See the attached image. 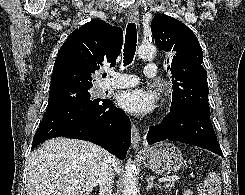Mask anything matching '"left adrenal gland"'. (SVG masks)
Masks as SVG:
<instances>
[{
	"instance_id": "a2214340",
	"label": "left adrenal gland",
	"mask_w": 245,
	"mask_h": 195,
	"mask_svg": "<svg viewBox=\"0 0 245 195\" xmlns=\"http://www.w3.org/2000/svg\"><path fill=\"white\" fill-rule=\"evenodd\" d=\"M146 181L148 183L147 187H146V190H150L151 188L153 187H158V188H161V186L159 184H156V183H153V181H151L149 178H146Z\"/></svg>"
}]
</instances>
